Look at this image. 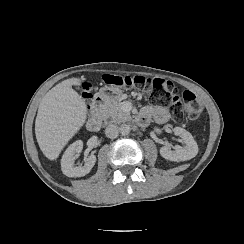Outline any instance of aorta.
Segmentation results:
<instances>
[{
  "mask_svg": "<svg viewBox=\"0 0 244 244\" xmlns=\"http://www.w3.org/2000/svg\"><path fill=\"white\" fill-rule=\"evenodd\" d=\"M131 131V127L128 124H123L120 126V133L124 136L128 135Z\"/></svg>",
  "mask_w": 244,
  "mask_h": 244,
  "instance_id": "obj_1",
  "label": "aorta"
}]
</instances>
